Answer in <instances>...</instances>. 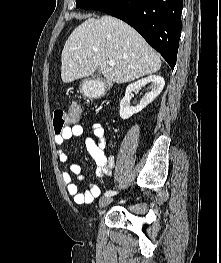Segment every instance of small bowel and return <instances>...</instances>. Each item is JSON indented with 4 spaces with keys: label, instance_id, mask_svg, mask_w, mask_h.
<instances>
[{
    "label": "small bowel",
    "instance_id": "1",
    "mask_svg": "<svg viewBox=\"0 0 221 263\" xmlns=\"http://www.w3.org/2000/svg\"><path fill=\"white\" fill-rule=\"evenodd\" d=\"M91 129L98 141H95L91 137H86L84 144L89 155L96 163V175L100 178H111L113 176L115 159L113 156L106 154L109 140L106 138L104 128L100 123L92 124ZM83 132V126L75 124L67 127L60 135H55L54 143L57 146L56 155L61 163H67L69 161V157L62 146L71 138L81 137ZM72 175L78 180L84 179L85 176L80 164H70V172H62L61 174L67 193L77 205L91 204L100 195L99 186L90 183L84 191H80L78 185L73 181Z\"/></svg>",
    "mask_w": 221,
    "mask_h": 263
}]
</instances>
